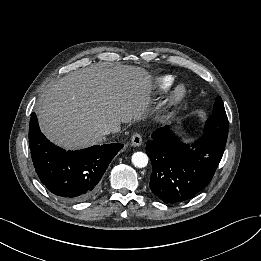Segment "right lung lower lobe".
I'll use <instances>...</instances> for the list:
<instances>
[{
    "label": "right lung lower lobe",
    "mask_w": 261,
    "mask_h": 261,
    "mask_svg": "<svg viewBox=\"0 0 261 261\" xmlns=\"http://www.w3.org/2000/svg\"><path fill=\"white\" fill-rule=\"evenodd\" d=\"M29 144L41 182L50 192L69 201L92 197L109 163L123 147V144L112 143L65 151L40 132L35 113L31 114Z\"/></svg>",
    "instance_id": "obj_1"
}]
</instances>
